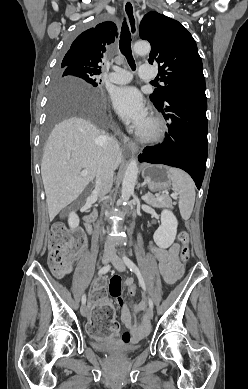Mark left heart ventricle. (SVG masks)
<instances>
[{
    "label": "left heart ventricle",
    "mask_w": 248,
    "mask_h": 389,
    "mask_svg": "<svg viewBox=\"0 0 248 389\" xmlns=\"http://www.w3.org/2000/svg\"><path fill=\"white\" fill-rule=\"evenodd\" d=\"M149 125H148V122H146V124L142 127V129H148Z\"/></svg>",
    "instance_id": "obj_1"
}]
</instances>
